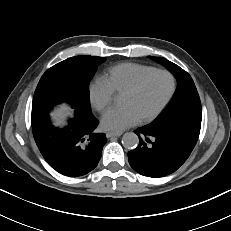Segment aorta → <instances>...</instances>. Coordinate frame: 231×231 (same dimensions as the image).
I'll return each instance as SVG.
<instances>
[{
  "label": "aorta",
  "mask_w": 231,
  "mask_h": 231,
  "mask_svg": "<svg viewBox=\"0 0 231 231\" xmlns=\"http://www.w3.org/2000/svg\"><path fill=\"white\" fill-rule=\"evenodd\" d=\"M139 138L133 132H127L122 137V144L127 149H134L138 146Z\"/></svg>",
  "instance_id": "1"
}]
</instances>
